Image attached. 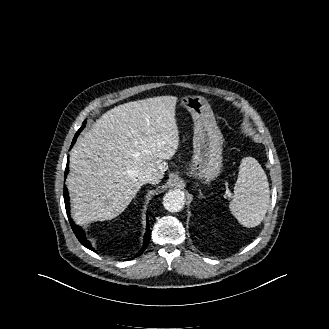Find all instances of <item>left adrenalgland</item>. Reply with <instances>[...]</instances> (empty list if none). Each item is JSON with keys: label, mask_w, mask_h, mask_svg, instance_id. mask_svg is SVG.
<instances>
[{"label": "left adrenal gland", "mask_w": 329, "mask_h": 329, "mask_svg": "<svg viewBox=\"0 0 329 329\" xmlns=\"http://www.w3.org/2000/svg\"><path fill=\"white\" fill-rule=\"evenodd\" d=\"M198 191H199V197L204 198L202 191L200 189Z\"/></svg>", "instance_id": "left-adrenal-gland-1"}]
</instances>
